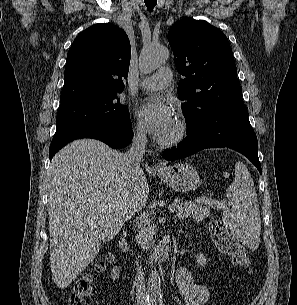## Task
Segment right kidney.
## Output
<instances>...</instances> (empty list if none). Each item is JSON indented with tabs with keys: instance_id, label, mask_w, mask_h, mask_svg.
<instances>
[{
	"instance_id": "ca27d5eb",
	"label": "right kidney",
	"mask_w": 297,
	"mask_h": 305,
	"mask_svg": "<svg viewBox=\"0 0 297 305\" xmlns=\"http://www.w3.org/2000/svg\"><path fill=\"white\" fill-rule=\"evenodd\" d=\"M120 274V270L118 267H113L112 272H111V278L112 280H116Z\"/></svg>"
}]
</instances>
